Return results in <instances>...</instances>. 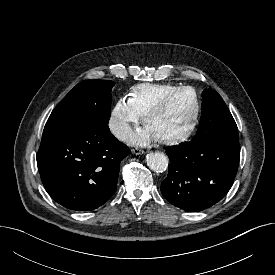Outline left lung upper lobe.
Segmentation results:
<instances>
[{"mask_svg":"<svg viewBox=\"0 0 275 275\" xmlns=\"http://www.w3.org/2000/svg\"><path fill=\"white\" fill-rule=\"evenodd\" d=\"M202 98L200 124L193 139H238L237 125L221 96L209 88Z\"/></svg>","mask_w":275,"mask_h":275,"instance_id":"1","label":"left lung upper lobe"}]
</instances>
